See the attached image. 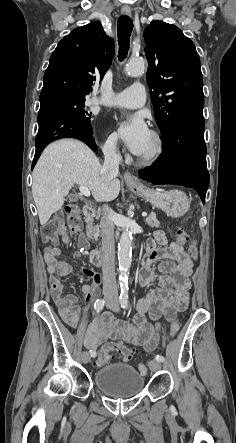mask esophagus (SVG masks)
<instances>
[{"mask_svg":"<svg viewBox=\"0 0 236 443\" xmlns=\"http://www.w3.org/2000/svg\"><path fill=\"white\" fill-rule=\"evenodd\" d=\"M121 13L123 15H127L130 16L131 15V9L128 6H124L121 8ZM124 179L127 183H131V184H136V185H141V182L134 177L133 175H131L129 172H125L124 173Z\"/></svg>","mask_w":236,"mask_h":443,"instance_id":"34e87169","label":"esophagus"}]
</instances>
